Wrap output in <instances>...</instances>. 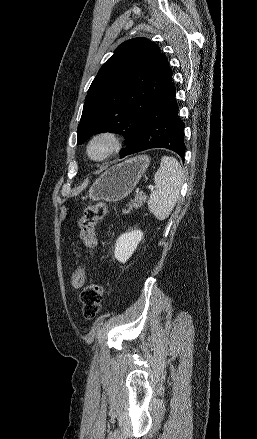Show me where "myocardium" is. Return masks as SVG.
<instances>
[{
	"mask_svg": "<svg viewBox=\"0 0 257 439\" xmlns=\"http://www.w3.org/2000/svg\"><path fill=\"white\" fill-rule=\"evenodd\" d=\"M101 141H106L108 143V149L102 155L94 156L92 154V148L96 143ZM122 146L123 140L120 133L115 130H102L95 133L89 139L86 145V155L91 161L102 163L115 156L121 150Z\"/></svg>",
	"mask_w": 257,
	"mask_h": 439,
	"instance_id": "f54148a6",
	"label": "myocardium"
}]
</instances>
